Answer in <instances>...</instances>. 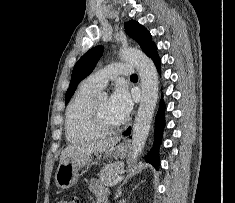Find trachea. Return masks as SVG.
I'll return each instance as SVG.
<instances>
[{
    "label": "trachea",
    "mask_w": 235,
    "mask_h": 203,
    "mask_svg": "<svg viewBox=\"0 0 235 203\" xmlns=\"http://www.w3.org/2000/svg\"><path fill=\"white\" fill-rule=\"evenodd\" d=\"M131 77H137V75L136 74H132Z\"/></svg>",
    "instance_id": "trachea-1"
}]
</instances>
